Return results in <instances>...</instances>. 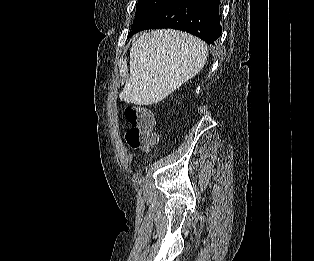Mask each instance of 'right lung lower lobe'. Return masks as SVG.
<instances>
[{
  "label": "right lung lower lobe",
  "mask_w": 314,
  "mask_h": 261,
  "mask_svg": "<svg viewBox=\"0 0 314 261\" xmlns=\"http://www.w3.org/2000/svg\"><path fill=\"white\" fill-rule=\"evenodd\" d=\"M220 0H171L159 11L139 25L132 26L128 35L155 28H172L214 43L222 32L219 15Z\"/></svg>",
  "instance_id": "right-lung-lower-lobe-1"
}]
</instances>
